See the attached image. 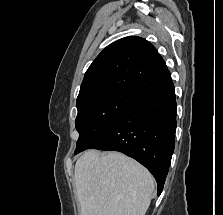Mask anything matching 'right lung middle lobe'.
<instances>
[{
	"label": "right lung middle lobe",
	"instance_id": "obj_1",
	"mask_svg": "<svg viewBox=\"0 0 223 215\" xmlns=\"http://www.w3.org/2000/svg\"><path fill=\"white\" fill-rule=\"evenodd\" d=\"M141 97L128 90H114L98 95L80 105L75 120L79 132L75 154L89 149Z\"/></svg>",
	"mask_w": 223,
	"mask_h": 215
}]
</instances>
